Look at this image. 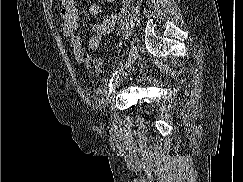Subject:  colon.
Returning <instances> with one entry per match:
<instances>
[{"label":"colon","instance_id":"1","mask_svg":"<svg viewBox=\"0 0 243 182\" xmlns=\"http://www.w3.org/2000/svg\"><path fill=\"white\" fill-rule=\"evenodd\" d=\"M90 67L98 74H101L104 71V63L100 58L93 59L90 62Z\"/></svg>","mask_w":243,"mask_h":182}]
</instances>
